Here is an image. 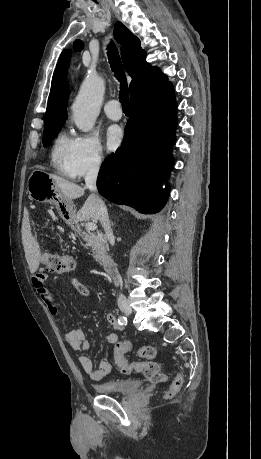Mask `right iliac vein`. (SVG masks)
<instances>
[{
    "label": "right iliac vein",
    "mask_w": 261,
    "mask_h": 459,
    "mask_svg": "<svg viewBox=\"0 0 261 459\" xmlns=\"http://www.w3.org/2000/svg\"><path fill=\"white\" fill-rule=\"evenodd\" d=\"M119 308L121 309V311L123 313H125L126 315H130L132 313V309L131 307L129 306L128 303L126 302H122L120 305H119Z\"/></svg>",
    "instance_id": "1"
}]
</instances>
